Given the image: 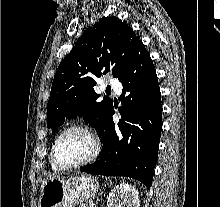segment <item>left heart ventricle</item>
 Here are the masks:
<instances>
[{"instance_id":"obj_1","label":"left heart ventricle","mask_w":220,"mask_h":207,"mask_svg":"<svg viewBox=\"0 0 220 207\" xmlns=\"http://www.w3.org/2000/svg\"><path fill=\"white\" fill-rule=\"evenodd\" d=\"M92 149L93 143L85 133L70 131L58 141L56 156L60 164L70 165L86 159Z\"/></svg>"}]
</instances>
